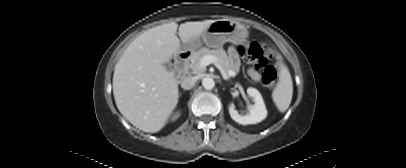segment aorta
Wrapping results in <instances>:
<instances>
[{"mask_svg": "<svg viewBox=\"0 0 406 168\" xmlns=\"http://www.w3.org/2000/svg\"><path fill=\"white\" fill-rule=\"evenodd\" d=\"M202 85L205 89L207 90H211L214 88L215 86V82L211 77H205L202 80Z\"/></svg>", "mask_w": 406, "mask_h": 168, "instance_id": "762f6f07", "label": "aorta"}]
</instances>
